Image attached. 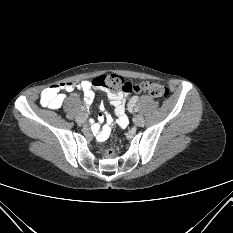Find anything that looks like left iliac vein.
Masks as SVG:
<instances>
[{
	"instance_id": "left-iliac-vein-1",
	"label": "left iliac vein",
	"mask_w": 233,
	"mask_h": 233,
	"mask_svg": "<svg viewBox=\"0 0 233 233\" xmlns=\"http://www.w3.org/2000/svg\"><path fill=\"white\" fill-rule=\"evenodd\" d=\"M134 122L137 126H143L144 125V118L142 115H136Z\"/></svg>"
}]
</instances>
